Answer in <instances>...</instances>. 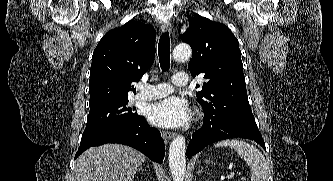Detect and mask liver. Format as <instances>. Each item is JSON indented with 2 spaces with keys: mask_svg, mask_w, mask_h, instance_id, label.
Returning <instances> with one entry per match:
<instances>
[{
  "mask_svg": "<svg viewBox=\"0 0 333 181\" xmlns=\"http://www.w3.org/2000/svg\"><path fill=\"white\" fill-rule=\"evenodd\" d=\"M144 161V154L125 145L91 147L76 160L75 181H132Z\"/></svg>",
  "mask_w": 333,
  "mask_h": 181,
  "instance_id": "obj_1",
  "label": "liver"
}]
</instances>
